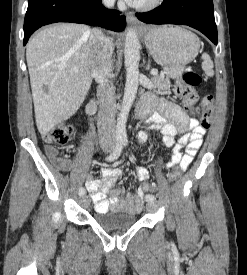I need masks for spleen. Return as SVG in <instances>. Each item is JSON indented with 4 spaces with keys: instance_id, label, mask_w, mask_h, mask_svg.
<instances>
[{
    "instance_id": "spleen-1",
    "label": "spleen",
    "mask_w": 247,
    "mask_h": 275,
    "mask_svg": "<svg viewBox=\"0 0 247 275\" xmlns=\"http://www.w3.org/2000/svg\"><path fill=\"white\" fill-rule=\"evenodd\" d=\"M202 59H203L202 69L205 71V73L208 76H212L214 74L213 61L211 60L210 56L207 53H203Z\"/></svg>"
}]
</instances>
